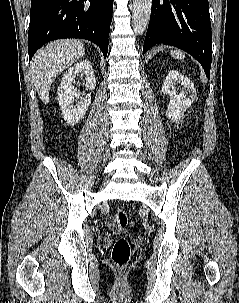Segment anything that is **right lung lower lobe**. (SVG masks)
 <instances>
[{
    "label": "right lung lower lobe",
    "mask_w": 239,
    "mask_h": 303,
    "mask_svg": "<svg viewBox=\"0 0 239 303\" xmlns=\"http://www.w3.org/2000/svg\"><path fill=\"white\" fill-rule=\"evenodd\" d=\"M112 9L113 0H31L29 60L45 43L62 38L90 40L106 58Z\"/></svg>",
    "instance_id": "1"
}]
</instances>
